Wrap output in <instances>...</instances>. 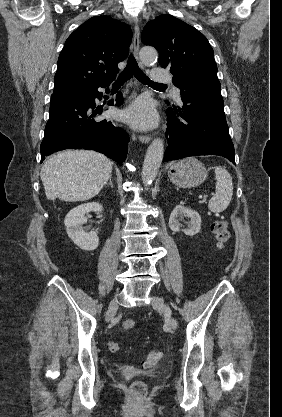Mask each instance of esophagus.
<instances>
[{
  "mask_svg": "<svg viewBox=\"0 0 282 417\" xmlns=\"http://www.w3.org/2000/svg\"><path fill=\"white\" fill-rule=\"evenodd\" d=\"M139 36H140V29L138 24L136 23L134 26V37H133V50H134V56L138 58L139 56ZM140 142L142 143H148L151 140L150 135H139L138 136Z\"/></svg>",
  "mask_w": 282,
  "mask_h": 417,
  "instance_id": "esophagus-1",
  "label": "esophagus"
}]
</instances>
